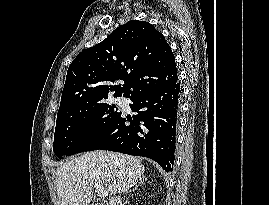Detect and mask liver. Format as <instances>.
<instances>
[{"label":"liver","instance_id":"obj_1","mask_svg":"<svg viewBox=\"0 0 269 205\" xmlns=\"http://www.w3.org/2000/svg\"><path fill=\"white\" fill-rule=\"evenodd\" d=\"M145 167L134 156L93 151L63 162L56 170L59 205H89L93 186L105 187L109 197L126 192L144 178Z\"/></svg>","mask_w":269,"mask_h":205}]
</instances>
